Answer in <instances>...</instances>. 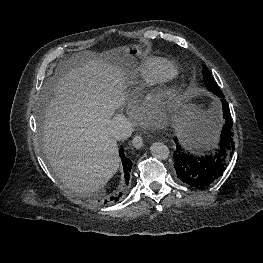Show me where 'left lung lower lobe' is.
I'll list each match as a JSON object with an SVG mask.
<instances>
[{"mask_svg": "<svg viewBox=\"0 0 263 263\" xmlns=\"http://www.w3.org/2000/svg\"><path fill=\"white\" fill-rule=\"evenodd\" d=\"M221 98L225 124L221 131L219 148L213 154H195L190 152L175 137L174 167L178 178L194 188H205L216 182L225 171L234 151V132L231 113L223 93L216 94Z\"/></svg>", "mask_w": 263, "mask_h": 263, "instance_id": "0a47b994", "label": "left lung lower lobe"}]
</instances>
